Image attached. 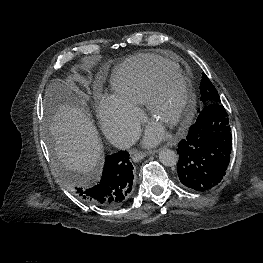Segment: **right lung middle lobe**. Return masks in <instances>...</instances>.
<instances>
[{"label":"right lung middle lobe","mask_w":263,"mask_h":263,"mask_svg":"<svg viewBox=\"0 0 263 263\" xmlns=\"http://www.w3.org/2000/svg\"><path fill=\"white\" fill-rule=\"evenodd\" d=\"M60 175L66 182L70 183L71 185H74L75 183L79 182L78 177L72 173L60 170Z\"/></svg>","instance_id":"obj_1"}]
</instances>
